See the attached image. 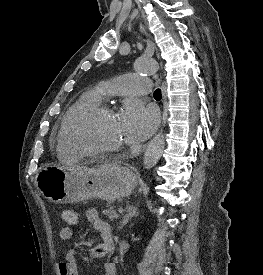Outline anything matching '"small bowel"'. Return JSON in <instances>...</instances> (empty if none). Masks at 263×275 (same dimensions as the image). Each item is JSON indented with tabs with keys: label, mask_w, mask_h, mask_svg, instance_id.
I'll return each mask as SVG.
<instances>
[{
	"label": "small bowel",
	"mask_w": 263,
	"mask_h": 275,
	"mask_svg": "<svg viewBox=\"0 0 263 275\" xmlns=\"http://www.w3.org/2000/svg\"><path fill=\"white\" fill-rule=\"evenodd\" d=\"M88 222L92 223L93 228L100 233L102 242L95 246L91 252L94 259L110 257L114 251L113 235L110 225L101 219L97 209L90 208L85 213ZM75 232L74 226L67 225L60 230L61 240H70ZM76 248H71L65 254L64 259L59 263L61 275H79L78 259ZM104 275H117V268L113 262L104 264Z\"/></svg>",
	"instance_id": "obj_1"
}]
</instances>
